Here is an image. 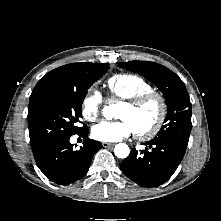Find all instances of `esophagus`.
Here are the masks:
<instances>
[{
	"mask_svg": "<svg viewBox=\"0 0 221 221\" xmlns=\"http://www.w3.org/2000/svg\"><path fill=\"white\" fill-rule=\"evenodd\" d=\"M102 146L104 148H108V147L114 146V143L102 142Z\"/></svg>",
	"mask_w": 221,
	"mask_h": 221,
	"instance_id": "1",
	"label": "esophagus"
}]
</instances>
